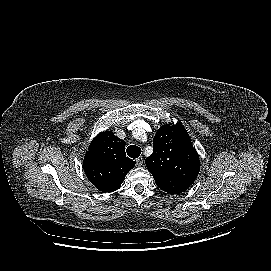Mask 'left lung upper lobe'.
I'll use <instances>...</instances> for the list:
<instances>
[{"instance_id": "left-lung-upper-lobe-1", "label": "left lung upper lobe", "mask_w": 271, "mask_h": 271, "mask_svg": "<svg viewBox=\"0 0 271 271\" xmlns=\"http://www.w3.org/2000/svg\"><path fill=\"white\" fill-rule=\"evenodd\" d=\"M157 186L165 192L178 194V182L191 185L200 170L199 156L182 124H166L157 130L153 153L145 160Z\"/></svg>"}]
</instances>
